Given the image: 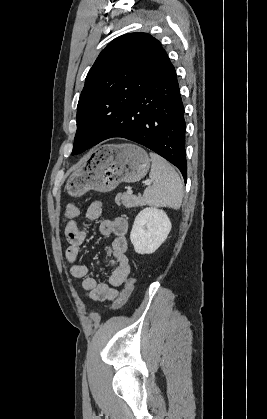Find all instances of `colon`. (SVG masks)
<instances>
[{
	"label": "colon",
	"instance_id": "5ec220e1",
	"mask_svg": "<svg viewBox=\"0 0 267 419\" xmlns=\"http://www.w3.org/2000/svg\"><path fill=\"white\" fill-rule=\"evenodd\" d=\"M79 214V208L75 205H69L64 213V219H70ZM135 285V280L133 278H129L125 282V287L120 293L119 297L114 301L111 309L112 311L119 310L127 301L129 296L131 295Z\"/></svg>",
	"mask_w": 267,
	"mask_h": 419
}]
</instances>
